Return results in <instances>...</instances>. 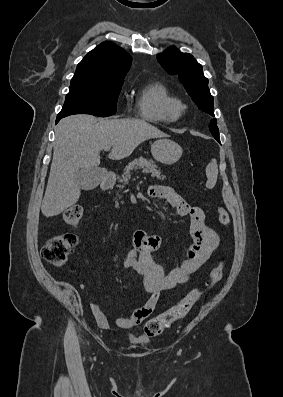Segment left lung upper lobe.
<instances>
[{"label":"left lung upper lobe","instance_id":"1","mask_svg":"<svg viewBox=\"0 0 283 397\" xmlns=\"http://www.w3.org/2000/svg\"><path fill=\"white\" fill-rule=\"evenodd\" d=\"M161 66L169 73L179 77L186 91L199 109L214 117L213 96L208 88V79L204 76L202 65L188 53H181L178 49L170 47L157 55ZM212 135L219 137L216 119L209 125Z\"/></svg>","mask_w":283,"mask_h":397}]
</instances>
